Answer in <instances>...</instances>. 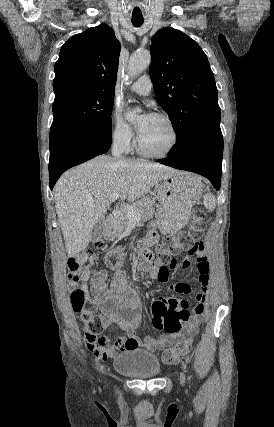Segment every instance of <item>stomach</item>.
I'll list each match as a JSON object with an SVG mask.
<instances>
[{"instance_id": "stomach-1", "label": "stomach", "mask_w": 274, "mask_h": 427, "mask_svg": "<svg viewBox=\"0 0 274 427\" xmlns=\"http://www.w3.org/2000/svg\"><path fill=\"white\" fill-rule=\"evenodd\" d=\"M195 180L197 176L185 172H177L162 180L158 188L159 208L151 225H157L164 235H172L186 225L191 208L197 204L201 194V190H194L192 186ZM194 194L196 200H193Z\"/></svg>"}]
</instances>
